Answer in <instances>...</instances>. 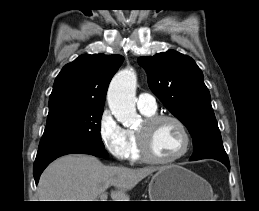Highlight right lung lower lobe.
<instances>
[{
	"label": "right lung lower lobe",
	"mask_w": 259,
	"mask_h": 211,
	"mask_svg": "<svg viewBox=\"0 0 259 211\" xmlns=\"http://www.w3.org/2000/svg\"><path fill=\"white\" fill-rule=\"evenodd\" d=\"M71 153L91 154L103 158H107L109 156L104 148L87 147L77 144H62L38 150L33 167V175L36 184L39 181L41 173L49 163L60 156Z\"/></svg>",
	"instance_id": "98d812e1"
}]
</instances>
